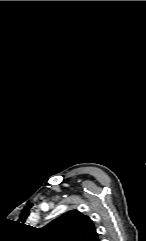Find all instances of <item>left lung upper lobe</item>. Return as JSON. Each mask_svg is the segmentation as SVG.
<instances>
[{
	"instance_id": "5c2ea615",
	"label": "left lung upper lobe",
	"mask_w": 146,
	"mask_h": 241,
	"mask_svg": "<svg viewBox=\"0 0 146 241\" xmlns=\"http://www.w3.org/2000/svg\"><path fill=\"white\" fill-rule=\"evenodd\" d=\"M42 232L46 241H92L97 236L92 220L77 210L62 214Z\"/></svg>"
}]
</instances>
